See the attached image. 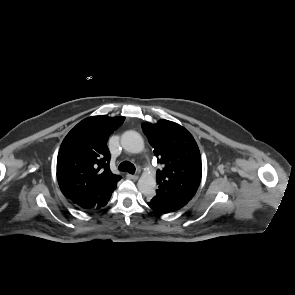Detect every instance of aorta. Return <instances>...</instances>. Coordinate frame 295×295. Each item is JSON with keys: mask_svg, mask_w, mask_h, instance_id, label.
Instances as JSON below:
<instances>
[{"mask_svg": "<svg viewBox=\"0 0 295 295\" xmlns=\"http://www.w3.org/2000/svg\"><path fill=\"white\" fill-rule=\"evenodd\" d=\"M121 145L124 150L130 153H140L144 149V140L136 131H126L121 136ZM137 187L146 197H151L155 193L156 179L152 174L143 173L138 180Z\"/></svg>", "mask_w": 295, "mask_h": 295, "instance_id": "762f6f07", "label": "aorta"}]
</instances>
